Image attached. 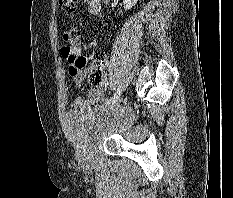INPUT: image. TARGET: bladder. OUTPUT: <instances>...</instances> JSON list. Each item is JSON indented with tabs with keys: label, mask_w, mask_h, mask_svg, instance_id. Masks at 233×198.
Returning <instances> with one entry per match:
<instances>
[{
	"label": "bladder",
	"mask_w": 233,
	"mask_h": 198,
	"mask_svg": "<svg viewBox=\"0 0 233 198\" xmlns=\"http://www.w3.org/2000/svg\"><path fill=\"white\" fill-rule=\"evenodd\" d=\"M128 120L129 116L123 112L99 107L85 114L70 112L65 121V129L75 147L87 152L104 136L121 131Z\"/></svg>",
	"instance_id": "obj_1"
}]
</instances>
